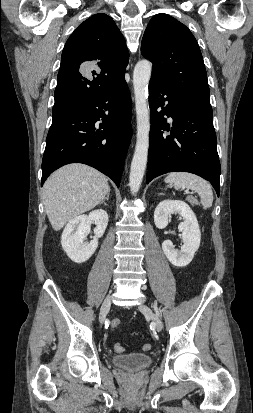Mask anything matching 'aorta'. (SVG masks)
<instances>
[{
    "label": "aorta",
    "mask_w": 253,
    "mask_h": 413,
    "mask_svg": "<svg viewBox=\"0 0 253 413\" xmlns=\"http://www.w3.org/2000/svg\"><path fill=\"white\" fill-rule=\"evenodd\" d=\"M151 72L152 63L148 60L139 61L135 65L133 71V87L137 118V140L129 176V186L133 195L140 189L148 159L150 132L148 84Z\"/></svg>",
    "instance_id": "aorta-1"
}]
</instances>
